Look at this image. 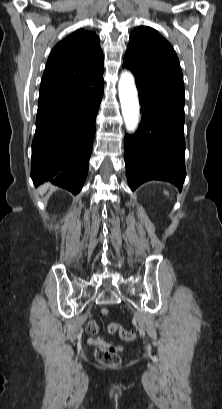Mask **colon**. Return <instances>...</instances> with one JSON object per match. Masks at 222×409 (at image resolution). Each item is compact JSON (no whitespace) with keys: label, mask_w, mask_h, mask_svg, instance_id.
Instances as JSON below:
<instances>
[{"label":"colon","mask_w":222,"mask_h":409,"mask_svg":"<svg viewBox=\"0 0 222 409\" xmlns=\"http://www.w3.org/2000/svg\"><path fill=\"white\" fill-rule=\"evenodd\" d=\"M101 312L103 315L108 314L107 309H102ZM108 331L110 333H118L120 337L125 341H133L136 338V334L134 331L127 330L118 323L109 324ZM120 351H121L120 346L113 345L99 346L96 350V357L98 361L104 365L117 366L121 362Z\"/></svg>","instance_id":"obj_1"}]
</instances>
